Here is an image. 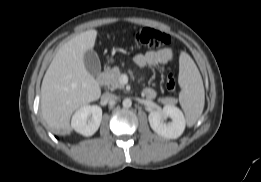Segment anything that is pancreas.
Instances as JSON below:
<instances>
[{
    "label": "pancreas",
    "instance_id": "obj_1",
    "mask_svg": "<svg viewBox=\"0 0 261 182\" xmlns=\"http://www.w3.org/2000/svg\"><path fill=\"white\" fill-rule=\"evenodd\" d=\"M121 72L119 67H114L110 71L104 73L105 84L111 89L124 88V84L120 83Z\"/></svg>",
    "mask_w": 261,
    "mask_h": 182
}]
</instances>
